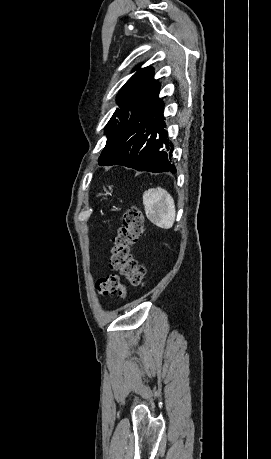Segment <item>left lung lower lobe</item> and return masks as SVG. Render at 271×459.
I'll list each match as a JSON object with an SVG mask.
<instances>
[{"label":"left lung lower lobe","instance_id":"obj_1","mask_svg":"<svg viewBox=\"0 0 271 459\" xmlns=\"http://www.w3.org/2000/svg\"><path fill=\"white\" fill-rule=\"evenodd\" d=\"M159 89L155 103L147 114L130 117L121 123L108 138V152L99 165H123L138 171L172 172L173 146L165 130L164 104L159 102Z\"/></svg>","mask_w":271,"mask_h":459}]
</instances>
